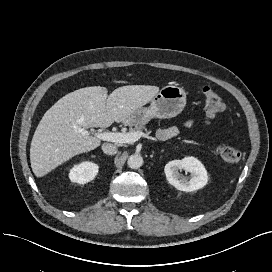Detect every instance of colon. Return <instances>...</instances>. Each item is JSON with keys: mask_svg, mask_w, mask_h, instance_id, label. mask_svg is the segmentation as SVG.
Segmentation results:
<instances>
[{"mask_svg": "<svg viewBox=\"0 0 272 272\" xmlns=\"http://www.w3.org/2000/svg\"><path fill=\"white\" fill-rule=\"evenodd\" d=\"M202 94L206 120L212 121L224 111L225 104L218 93L210 87H205ZM216 150L225 162L237 163L242 159V153L229 145H218Z\"/></svg>", "mask_w": 272, "mask_h": 272, "instance_id": "colon-1", "label": "colon"}]
</instances>
